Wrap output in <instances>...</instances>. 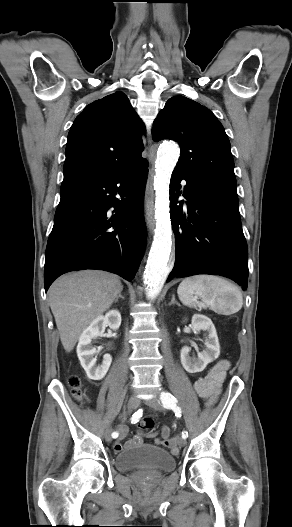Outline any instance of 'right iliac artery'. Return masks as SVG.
Here are the masks:
<instances>
[{"instance_id":"obj_1","label":"right iliac artery","mask_w":292,"mask_h":527,"mask_svg":"<svg viewBox=\"0 0 292 527\" xmlns=\"http://www.w3.org/2000/svg\"><path fill=\"white\" fill-rule=\"evenodd\" d=\"M140 416H141V414H139V413H135L133 416H131L132 420H130V425L132 427H135L139 423ZM118 435H119L118 432H113L112 433V438H117Z\"/></svg>"}]
</instances>
